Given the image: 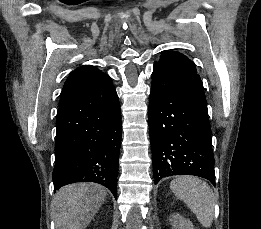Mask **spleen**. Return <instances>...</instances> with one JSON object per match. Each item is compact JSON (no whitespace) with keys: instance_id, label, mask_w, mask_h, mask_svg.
I'll return each mask as SVG.
<instances>
[{"instance_id":"obj_1","label":"spleen","mask_w":261,"mask_h":229,"mask_svg":"<svg viewBox=\"0 0 261 229\" xmlns=\"http://www.w3.org/2000/svg\"><path fill=\"white\" fill-rule=\"evenodd\" d=\"M170 189L196 215L199 223L209 229L214 217V193L208 183L198 177H176Z\"/></svg>"}]
</instances>
